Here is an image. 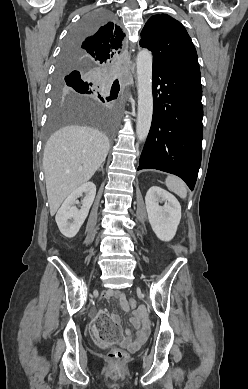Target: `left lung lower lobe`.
<instances>
[{
    "label": "left lung lower lobe",
    "instance_id": "0a47b994",
    "mask_svg": "<svg viewBox=\"0 0 248 389\" xmlns=\"http://www.w3.org/2000/svg\"><path fill=\"white\" fill-rule=\"evenodd\" d=\"M199 64L153 62V118L138 170L158 169L194 189L202 155V85Z\"/></svg>",
    "mask_w": 248,
    "mask_h": 389
}]
</instances>
